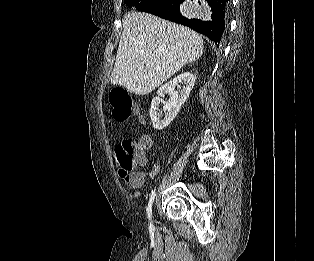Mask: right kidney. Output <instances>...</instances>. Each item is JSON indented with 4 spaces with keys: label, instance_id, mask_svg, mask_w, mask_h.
Segmentation results:
<instances>
[{
    "label": "right kidney",
    "instance_id": "right-kidney-1",
    "mask_svg": "<svg viewBox=\"0 0 314 261\" xmlns=\"http://www.w3.org/2000/svg\"><path fill=\"white\" fill-rule=\"evenodd\" d=\"M178 83H181L183 87L179 91H175ZM194 84L195 76L191 72H185L159 88L158 96L152 99L149 112L153 127L156 130H163L175 118L181 106L187 100ZM165 94L169 95V101L164 105V114H162L158 107L161 97H164Z\"/></svg>",
    "mask_w": 314,
    "mask_h": 261
}]
</instances>
